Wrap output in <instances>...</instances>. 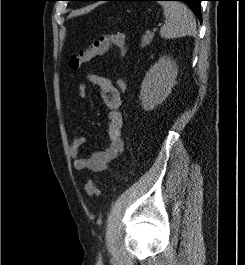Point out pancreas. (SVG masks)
I'll return each instance as SVG.
<instances>
[{
	"mask_svg": "<svg viewBox=\"0 0 245 265\" xmlns=\"http://www.w3.org/2000/svg\"><path fill=\"white\" fill-rule=\"evenodd\" d=\"M153 36V33L143 35L140 46L144 48L145 46L149 45L153 40Z\"/></svg>",
	"mask_w": 245,
	"mask_h": 265,
	"instance_id": "obj_1",
	"label": "pancreas"
}]
</instances>
